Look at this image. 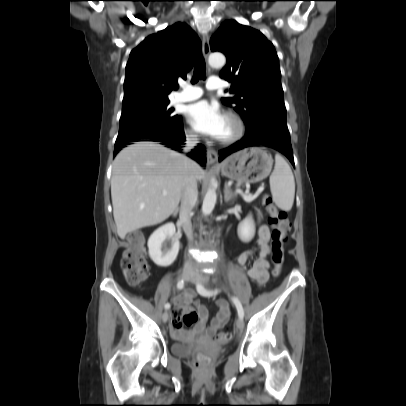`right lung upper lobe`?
I'll return each mask as SVG.
<instances>
[{
	"instance_id": "obj_1",
	"label": "right lung upper lobe",
	"mask_w": 406,
	"mask_h": 406,
	"mask_svg": "<svg viewBox=\"0 0 406 406\" xmlns=\"http://www.w3.org/2000/svg\"><path fill=\"white\" fill-rule=\"evenodd\" d=\"M201 42L185 23L148 36L131 51L126 65L122 106L146 100H168L200 53Z\"/></svg>"
}]
</instances>
